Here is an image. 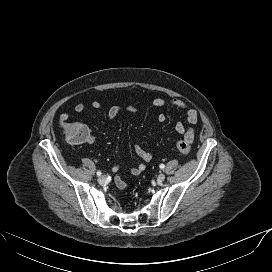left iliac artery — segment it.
I'll return each instance as SVG.
<instances>
[{
    "label": "left iliac artery",
    "mask_w": 272,
    "mask_h": 272,
    "mask_svg": "<svg viewBox=\"0 0 272 272\" xmlns=\"http://www.w3.org/2000/svg\"><path fill=\"white\" fill-rule=\"evenodd\" d=\"M161 169H164L165 168V165L164 164H160L159 166Z\"/></svg>",
    "instance_id": "obj_1"
}]
</instances>
